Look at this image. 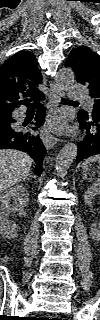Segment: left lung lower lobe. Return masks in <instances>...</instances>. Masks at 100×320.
Masks as SVG:
<instances>
[{
	"label": "left lung lower lobe",
	"instance_id": "obj_1",
	"mask_svg": "<svg viewBox=\"0 0 100 320\" xmlns=\"http://www.w3.org/2000/svg\"><path fill=\"white\" fill-rule=\"evenodd\" d=\"M80 126L86 136L78 145L77 163L90 156L100 154V114L88 116L79 113Z\"/></svg>",
	"mask_w": 100,
	"mask_h": 320
}]
</instances>
